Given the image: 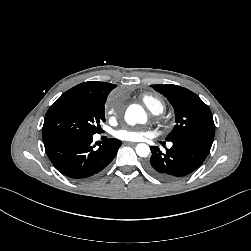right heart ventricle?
Wrapping results in <instances>:
<instances>
[{"mask_svg": "<svg viewBox=\"0 0 251 251\" xmlns=\"http://www.w3.org/2000/svg\"><path fill=\"white\" fill-rule=\"evenodd\" d=\"M141 100L152 113L159 114L164 110V103L157 96L144 94L141 96Z\"/></svg>", "mask_w": 251, "mask_h": 251, "instance_id": "1", "label": "right heart ventricle"}]
</instances>
